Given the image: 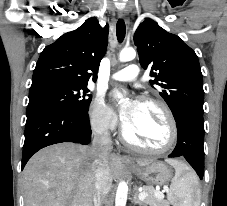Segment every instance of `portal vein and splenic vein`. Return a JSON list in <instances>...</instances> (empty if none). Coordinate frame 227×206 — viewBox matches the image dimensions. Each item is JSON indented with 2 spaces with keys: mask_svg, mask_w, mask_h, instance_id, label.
<instances>
[{
  "mask_svg": "<svg viewBox=\"0 0 227 206\" xmlns=\"http://www.w3.org/2000/svg\"><path fill=\"white\" fill-rule=\"evenodd\" d=\"M164 190H165V191H168V188H167V187H164ZM154 194H155V196H157V197H159V198H164V194H163L162 192L158 191V190H155ZM145 197H146V193L143 192V191H141V192L139 193V199H140L141 201H143V200L145 199Z\"/></svg>",
  "mask_w": 227,
  "mask_h": 206,
  "instance_id": "18ae733b",
  "label": "portal vein and splenic vein"
}]
</instances>
